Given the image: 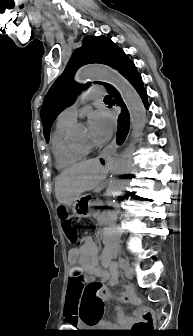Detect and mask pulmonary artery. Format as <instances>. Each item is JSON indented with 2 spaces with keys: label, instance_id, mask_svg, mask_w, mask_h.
Here are the masks:
<instances>
[{
  "label": "pulmonary artery",
  "instance_id": "1",
  "mask_svg": "<svg viewBox=\"0 0 193 336\" xmlns=\"http://www.w3.org/2000/svg\"><path fill=\"white\" fill-rule=\"evenodd\" d=\"M105 95L106 92L104 88L91 87L87 92L83 93L80 96V102L102 98ZM77 115H78V103L67 107L60 113L57 119V125L73 124L77 119Z\"/></svg>",
  "mask_w": 193,
  "mask_h": 336
}]
</instances>
